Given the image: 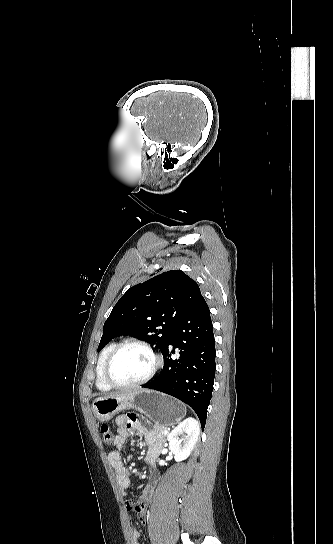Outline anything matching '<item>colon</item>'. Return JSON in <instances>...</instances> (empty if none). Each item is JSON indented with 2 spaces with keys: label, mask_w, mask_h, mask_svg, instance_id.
<instances>
[{
  "label": "colon",
  "mask_w": 333,
  "mask_h": 544,
  "mask_svg": "<svg viewBox=\"0 0 333 544\" xmlns=\"http://www.w3.org/2000/svg\"><path fill=\"white\" fill-rule=\"evenodd\" d=\"M101 434H102V439L106 444L112 443V433L110 428L107 425H103L101 427Z\"/></svg>",
  "instance_id": "colon-1"
}]
</instances>
